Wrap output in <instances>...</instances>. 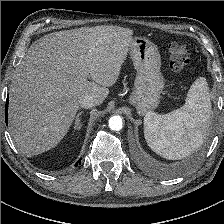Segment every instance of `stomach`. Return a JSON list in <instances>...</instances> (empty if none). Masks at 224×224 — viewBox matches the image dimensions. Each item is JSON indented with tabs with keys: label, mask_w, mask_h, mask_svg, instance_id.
<instances>
[{
	"label": "stomach",
	"mask_w": 224,
	"mask_h": 224,
	"mask_svg": "<svg viewBox=\"0 0 224 224\" xmlns=\"http://www.w3.org/2000/svg\"><path fill=\"white\" fill-rule=\"evenodd\" d=\"M130 56L137 71L135 89L129 97L138 114L145 115L160 102L164 88L159 51L150 40L134 37L129 45Z\"/></svg>",
	"instance_id": "0dacf381"
}]
</instances>
